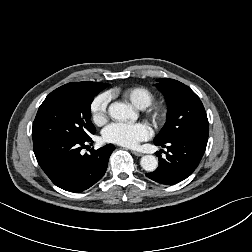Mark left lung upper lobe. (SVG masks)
I'll use <instances>...</instances> for the list:
<instances>
[{
  "mask_svg": "<svg viewBox=\"0 0 252 252\" xmlns=\"http://www.w3.org/2000/svg\"><path fill=\"white\" fill-rule=\"evenodd\" d=\"M158 81L157 87L165 95L168 113L167 121L154 142L166 143L189 134L208 137L209 123L199 97L188 86L174 79Z\"/></svg>",
  "mask_w": 252,
  "mask_h": 252,
  "instance_id": "1",
  "label": "left lung upper lobe"
}]
</instances>
